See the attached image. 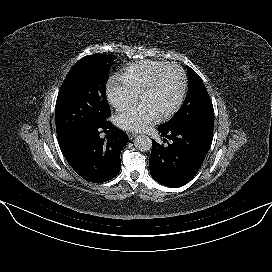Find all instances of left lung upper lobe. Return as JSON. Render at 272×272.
Segmentation results:
<instances>
[{
    "instance_id": "1",
    "label": "left lung upper lobe",
    "mask_w": 272,
    "mask_h": 272,
    "mask_svg": "<svg viewBox=\"0 0 272 272\" xmlns=\"http://www.w3.org/2000/svg\"><path fill=\"white\" fill-rule=\"evenodd\" d=\"M189 88L179 112L167 123L166 129L205 127L213 129L214 110L206 87L199 75L187 66Z\"/></svg>"
}]
</instances>
